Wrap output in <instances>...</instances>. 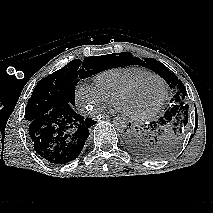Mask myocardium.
<instances>
[{"label": "myocardium", "mask_w": 213, "mask_h": 213, "mask_svg": "<svg viewBox=\"0 0 213 213\" xmlns=\"http://www.w3.org/2000/svg\"><path fill=\"white\" fill-rule=\"evenodd\" d=\"M148 77H154L156 79H158L162 86H163V96L162 99L160 100V102L150 111L141 114V115H130L125 113V115L134 121H144L147 119H150L151 117L155 116L160 109L162 108V106L164 105L167 96H168V87H167V83L166 81L158 74L153 73V72H148L142 75L137 76L136 78L132 79L131 81H129L127 84H125L124 86H122L120 89H118L115 94L113 95V101L116 103L117 99L125 94L126 92L130 91L131 89H133L136 85H138L142 80H144L145 78Z\"/></svg>", "instance_id": "myocardium-1"}]
</instances>
